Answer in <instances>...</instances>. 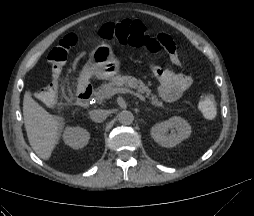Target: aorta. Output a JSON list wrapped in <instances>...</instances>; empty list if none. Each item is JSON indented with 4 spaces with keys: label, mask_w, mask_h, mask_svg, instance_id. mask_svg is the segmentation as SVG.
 I'll return each instance as SVG.
<instances>
[{
    "label": "aorta",
    "mask_w": 254,
    "mask_h": 216,
    "mask_svg": "<svg viewBox=\"0 0 254 216\" xmlns=\"http://www.w3.org/2000/svg\"><path fill=\"white\" fill-rule=\"evenodd\" d=\"M119 123L123 125H130L134 121V116L132 112L128 110H123L117 115Z\"/></svg>",
    "instance_id": "762f6f07"
}]
</instances>
